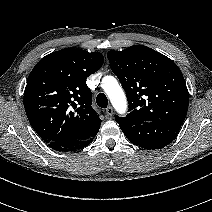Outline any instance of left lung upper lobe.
<instances>
[{"label":"left lung upper lobe","mask_w":212,"mask_h":212,"mask_svg":"<svg viewBox=\"0 0 212 212\" xmlns=\"http://www.w3.org/2000/svg\"><path fill=\"white\" fill-rule=\"evenodd\" d=\"M107 57L129 104L126 117L115 116L120 128L151 121L183 124L189 93L182 72L171 59L143 45L111 50Z\"/></svg>","instance_id":"obj_1"}]
</instances>
